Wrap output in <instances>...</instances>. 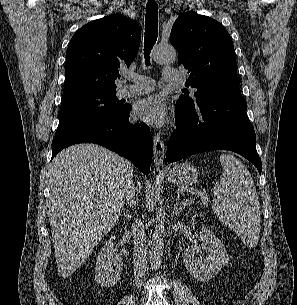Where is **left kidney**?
Instances as JSON below:
<instances>
[{
    "instance_id": "5707ae66",
    "label": "left kidney",
    "mask_w": 297,
    "mask_h": 305,
    "mask_svg": "<svg viewBox=\"0 0 297 305\" xmlns=\"http://www.w3.org/2000/svg\"><path fill=\"white\" fill-rule=\"evenodd\" d=\"M200 239L201 244H193L184 251L183 262L194 278L206 282L226 266L229 256L221 240L208 228H202ZM196 251H205L206 256L195 258Z\"/></svg>"
}]
</instances>
